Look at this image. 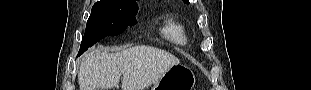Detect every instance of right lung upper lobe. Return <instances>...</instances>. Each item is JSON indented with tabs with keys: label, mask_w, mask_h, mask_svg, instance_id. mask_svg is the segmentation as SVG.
<instances>
[{
	"label": "right lung upper lobe",
	"mask_w": 311,
	"mask_h": 90,
	"mask_svg": "<svg viewBox=\"0 0 311 90\" xmlns=\"http://www.w3.org/2000/svg\"><path fill=\"white\" fill-rule=\"evenodd\" d=\"M103 1H118V2H125V3L136 4L135 0H101L100 2H103Z\"/></svg>",
	"instance_id": "obj_1"
}]
</instances>
